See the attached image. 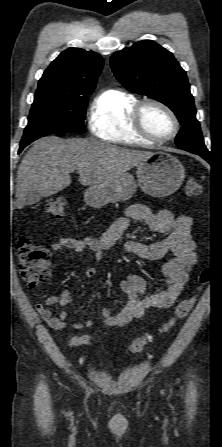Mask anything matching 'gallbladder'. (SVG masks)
Masks as SVG:
<instances>
[{
	"mask_svg": "<svg viewBox=\"0 0 222 447\" xmlns=\"http://www.w3.org/2000/svg\"><path fill=\"white\" fill-rule=\"evenodd\" d=\"M41 200V197L40 196H35L34 198H32V199H28L27 201H26V205H33V204H36L37 202H39Z\"/></svg>",
	"mask_w": 222,
	"mask_h": 447,
	"instance_id": "bac80fb5",
	"label": "gallbladder"
}]
</instances>
